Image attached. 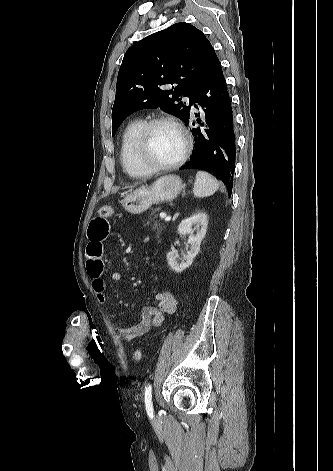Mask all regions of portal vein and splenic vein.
Wrapping results in <instances>:
<instances>
[{"label": "portal vein and splenic vein", "instance_id": "1", "mask_svg": "<svg viewBox=\"0 0 333 471\" xmlns=\"http://www.w3.org/2000/svg\"><path fill=\"white\" fill-rule=\"evenodd\" d=\"M159 216H160V218H162V219L170 220V218H169V217L167 216V214L164 213V212H161Z\"/></svg>", "mask_w": 333, "mask_h": 471}]
</instances>
